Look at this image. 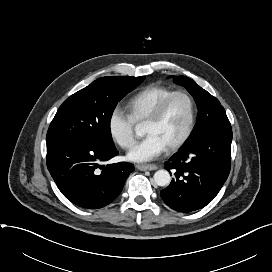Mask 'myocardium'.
Masks as SVG:
<instances>
[{
	"mask_svg": "<svg viewBox=\"0 0 272 272\" xmlns=\"http://www.w3.org/2000/svg\"><path fill=\"white\" fill-rule=\"evenodd\" d=\"M177 96H182L187 100L189 105V119L183 135L175 143L167 147L169 152H174L180 149L189 140L193 133L196 122V106L192 96L184 90H175L171 92L158 103V105L155 107L145 122L146 124L158 122L164 115L170 102Z\"/></svg>",
	"mask_w": 272,
	"mask_h": 272,
	"instance_id": "1",
	"label": "myocardium"
}]
</instances>
